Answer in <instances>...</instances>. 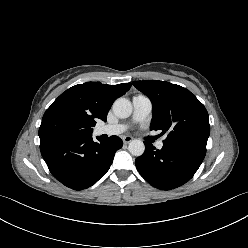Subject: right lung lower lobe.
<instances>
[{"label":"right lung lower lobe","instance_id":"obj_1","mask_svg":"<svg viewBox=\"0 0 248 248\" xmlns=\"http://www.w3.org/2000/svg\"><path fill=\"white\" fill-rule=\"evenodd\" d=\"M93 141L85 136L40 138V151L51 174L65 186L82 190L95 184L110 168L123 142L118 136Z\"/></svg>","mask_w":248,"mask_h":248}]
</instances>
